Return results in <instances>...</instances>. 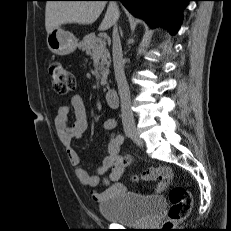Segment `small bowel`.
<instances>
[{
    "label": "small bowel",
    "instance_id": "obj_1",
    "mask_svg": "<svg viewBox=\"0 0 231 231\" xmlns=\"http://www.w3.org/2000/svg\"><path fill=\"white\" fill-rule=\"evenodd\" d=\"M73 112L74 120L70 123V115ZM87 110L85 102L80 95H74L69 105H62L58 108L54 120L56 134L65 150L69 163L74 167L77 179L82 185L95 189L100 183V177L109 172L103 178V183L107 188L98 192L93 190L91 197L95 202L101 203L115 196L123 195L127 192V187L120 181L126 168V158L121 154V143L118 135L113 133L116 121L108 118L104 121L103 127L110 132L106 148V156L95 174H90L80 163V157L72 146L74 140L83 137L87 129ZM163 175L161 180L153 187V193H162L167 183L172 179L173 173L169 168H160Z\"/></svg>",
    "mask_w": 231,
    "mask_h": 231
}]
</instances>
